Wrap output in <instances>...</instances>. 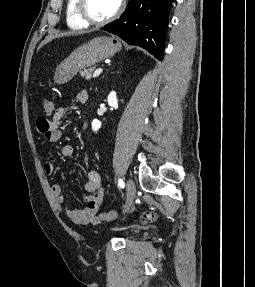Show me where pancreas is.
I'll list each match as a JSON object with an SVG mask.
<instances>
[{"label":"pancreas","mask_w":255,"mask_h":287,"mask_svg":"<svg viewBox=\"0 0 255 287\" xmlns=\"http://www.w3.org/2000/svg\"><path fill=\"white\" fill-rule=\"evenodd\" d=\"M95 70L96 66H91V68H85L83 72H80V76H82V78H86V80H89V78H91L92 76V72H95Z\"/></svg>","instance_id":"1"}]
</instances>
